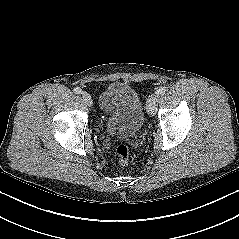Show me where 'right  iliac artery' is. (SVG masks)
<instances>
[{
  "label": "right iliac artery",
  "mask_w": 239,
  "mask_h": 239,
  "mask_svg": "<svg viewBox=\"0 0 239 239\" xmlns=\"http://www.w3.org/2000/svg\"><path fill=\"white\" fill-rule=\"evenodd\" d=\"M73 91H74L75 94H80L81 93V89L79 87L74 88Z\"/></svg>",
  "instance_id": "obj_1"
}]
</instances>
